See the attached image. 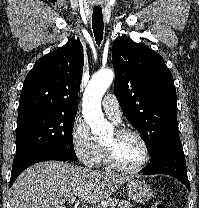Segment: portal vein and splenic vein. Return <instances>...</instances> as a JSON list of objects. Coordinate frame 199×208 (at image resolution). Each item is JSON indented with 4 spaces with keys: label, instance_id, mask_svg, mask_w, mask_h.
I'll return each mask as SVG.
<instances>
[{
    "label": "portal vein and splenic vein",
    "instance_id": "portal-vein-and-splenic-vein-1",
    "mask_svg": "<svg viewBox=\"0 0 199 208\" xmlns=\"http://www.w3.org/2000/svg\"><path fill=\"white\" fill-rule=\"evenodd\" d=\"M75 199H76L75 197H71V198L68 199V202L69 203H74L75 202Z\"/></svg>",
    "mask_w": 199,
    "mask_h": 208
}]
</instances>
